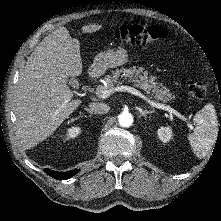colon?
Here are the masks:
<instances>
[{"instance_id":"obj_1","label":"colon","mask_w":221,"mask_h":221,"mask_svg":"<svg viewBox=\"0 0 221 221\" xmlns=\"http://www.w3.org/2000/svg\"><path fill=\"white\" fill-rule=\"evenodd\" d=\"M167 30L159 25L126 24L116 28L113 36L117 40L134 46H145L165 38ZM190 94L196 99H203L207 94V87L202 81H193L188 86Z\"/></svg>"}]
</instances>
